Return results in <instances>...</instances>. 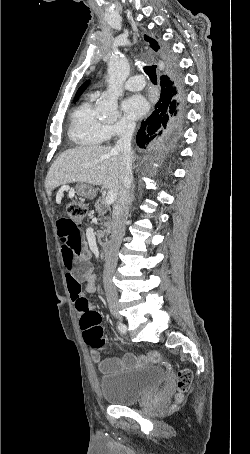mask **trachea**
Instances as JSON below:
<instances>
[{"label":"trachea","instance_id":"1","mask_svg":"<svg viewBox=\"0 0 250 454\" xmlns=\"http://www.w3.org/2000/svg\"><path fill=\"white\" fill-rule=\"evenodd\" d=\"M156 68L157 66H145L144 71L145 73L149 76L150 80L152 83L156 84L157 83V74H156Z\"/></svg>","mask_w":250,"mask_h":454}]
</instances>
